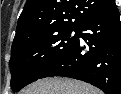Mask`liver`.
Returning a JSON list of instances; mask_svg holds the SVG:
<instances>
[{
    "label": "liver",
    "instance_id": "1",
    "mask_svg": "<svg viewBox=\"0 0 121 94\" xmlns=\"http://www.w3.org/2000/svg\"><path fill=\"white\" fill-rule=\"evenodd\" d=\"M20 94H103L94 86L69 78H44L28 86Z\"/></svg>",
    "mask_w": 121,
    "mask_h": 94
}]
</instances>
